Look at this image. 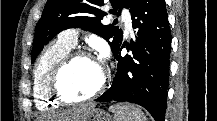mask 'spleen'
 Returning a JSON list of instances; mask_svg holds the SVG:
<instances>
[{
    "instance_id": "obj_1",
    "label": "spleen",
    "mask_w": 217,
    "mask_h": 121,
    "mask_svg": "<svg viewBox=\"0 0 217 121\" xmlns=\"http://www.w3.org/2000/svg\"><path fill=\"white\" fill-rule=\"evenodd\" d=\"M116 121H146L144 113L138 107L128 103H118L110 107Z\"/></svg>"
}]
</instances>
